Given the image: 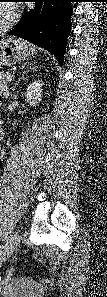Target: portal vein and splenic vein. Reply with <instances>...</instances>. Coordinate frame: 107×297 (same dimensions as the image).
Instances as JSON below:
<instances>
[{
	"label": "portal vein and splenic vein",
	"mask_w": 107,
	"mask_h": 297,
	"mask_svg": "<svg viewBox=\"0 0 107 297\" xmlns=\"http://www.w3.org/2000/svg\"><path fill=\"white\" fill-rule=\"evenodd\" d=\"M7 79H8V81H12V80L14 79V76L11 75V76H9Z\"/></svg>",
	"instance_id": "18ae733b"
}]
</instances>
